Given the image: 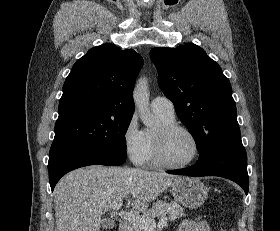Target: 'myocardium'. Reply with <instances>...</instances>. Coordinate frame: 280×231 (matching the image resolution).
I'll return each mask as SVG.
<instances>
[{"mask_svg": "<svg viewBox=\"0 0 280 231\" xmlns=\"http://www.w3.org/2000/svg\"><path fill=\"white\" fill-rule=\"evenodd\" d=\"M175 131L186 132L187 134H189L192 137V139L195 142V145H196L195 156L188 162L181 163V164L174 163L166 155L164 144H163V138L165 135L170 134ZM154 140H155L156 160L160 165H162L164 167L173 168V169H181V168L190 167L199 160L201 153H202V145H201L200 139L197 136V134L191 128H189L185 125H182V124L175 123V122L164 123L162 125V132L160 134H155Z\"/></svg>", "mask_w": 280, "mask_h": 231, "instance_id": "f54148a6", "label": "myocardium"}]
</instances>
